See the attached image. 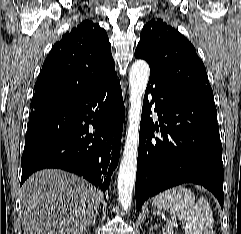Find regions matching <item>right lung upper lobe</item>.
Instances as JSON below:
<instances>
[{
  "label": "right lung upper lobe",
  "instance_id": "right-lung-upper-lobe-1",
  "mask_svg": "<svg viewBox=\"0 0 241 234\" xmlns=\"http://www.w3.org/2000/svg\"><path fill=\"white\" fill-rule=\"evenodd\" d=\"M106 31L83 21L52 47L35 84L31 103L88 90L115 75Z\"/></svg>",
  "mask_w": 241,
  "mask_h": 234
}]
</instances>
